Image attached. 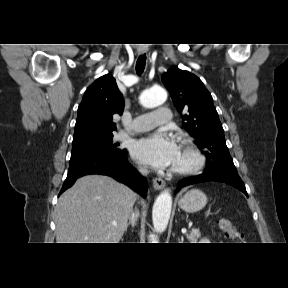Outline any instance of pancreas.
Segmentation results:
<instances>
[{
	"instance_id": "1",
	"label": "pancreas",
	"mask_w": 288,
	"mask_h": 288,
	"mask_svg": "<svg viewBox=\"0 0 288 288\" xmlns=\"http://www.w3.org/2000/svg\"><path fill=\"white\" fill-rule=\"evenodd\" d=\"M201 233L199 229H192L189 234H186L187 239L191 243H197V240L200 238Z\"/></svg>"
}]
</instances>
